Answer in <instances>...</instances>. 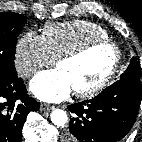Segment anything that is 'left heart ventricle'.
Masks as SVG:
<instances>
[{
	"mask_svg": "<svg viewBox=\"0 0 142 142\" xmlns=\"http://www.w3.org/2000/svg\"><path fill=\"white\" fill-rule=\"evenodd\" d=\"M113 60V50L108 46H102L79 59L62 62L58 69L68 77L73 90L85 89L96 84L106 75Z\"/></svg>",
	"mask_w": 142,
	"mask_h": 142,
	"instance_id": "obj_1",
	"label": "left heart ventricle"
}]
</instances>
